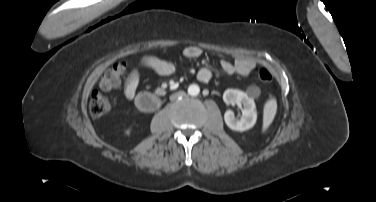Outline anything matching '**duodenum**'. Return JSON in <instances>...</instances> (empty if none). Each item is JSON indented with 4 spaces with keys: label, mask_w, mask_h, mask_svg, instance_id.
I'll list each match as a JSON object with an SVG mask.
<instances>
[{
    "label": "duodenum",
    "mask_w": 376,
    "mask_h": 202,
    "mask_svg": "<svg viewBox=\"0 0 376 202\" xmlns=\"http://www.w3.org/2000/svg\"><path fill=\"white\" fill-rule=\"evenodd\" d=\"M136 107L143 112H153L160 106L158 96L150 93H141L135 97Z\"/></svg>",
    "instance_id": "obj_1"
}]
</instances>
